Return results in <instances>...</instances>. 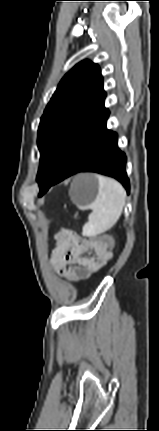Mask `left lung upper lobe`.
Segmentation results:
<instances>
[{
	"label": "left lung upper lobe",
	"mask_w": 159,
	"mask_h": 431,
	"mask_svg": "<svg viewBox=\"0 0 159 431\" xmlns=\"http://www.w3.org/2000/svg\"><path fill=\"white\" fill-rule=\"evenodd\" d=\"M105 97L100 68L88 60L77 64L62 78L38 129L40 192L58 173L77 134L107 111Z\"/></svg>",
	"instance_id": "1"
}]
</instances>
